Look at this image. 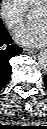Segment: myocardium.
<instances>
[{"instance_id":"obj_1","label":"myocardium","mask_w":47,"mask_h":129,"mask_svg":"<svg viewBox=\"0 0 47 129\" xmlns=\"http://www.w3.org/2000/svg\"><path fill=\"white\" fill-rule=\"evenodd\" d=\"M36 9H44L47 14V0H44L42 3H40Z\"/></svg>"}]
</instances>
